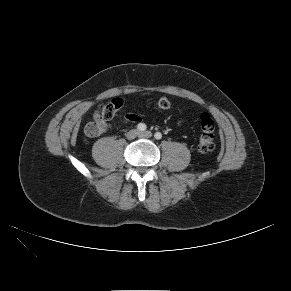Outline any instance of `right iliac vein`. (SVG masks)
Segmentation results:
<instances>
[{"mask_svg":"<svg viewBox=\"0 0 291 291\" xmlns=\"http://www.w3.org/2000/svg\"><path fill=\"white\" fill-rule=\"evenodd\" d=\"M139 135V132L136 129L130 130L127 134L126 137L129 140L135 139Z\"/></svg>","mask_w":291,"mask_h":291,"instance_id":"obj_1","label":"right iliac vein"}]
</instances>
